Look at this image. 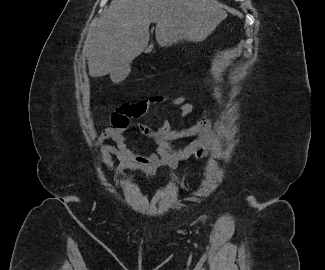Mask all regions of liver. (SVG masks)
Listing matches in <instances>:
<instances>
[{"label": "liver", "instance_id": "6515ba94", "mask_svg": "<svg viewBox=\"0 0 325 270\" xmlns=\"http://www.w3.org/2000/svg\"><path fill=\"white\" fill-rule=\"evenodd\" d=\"M226 17L223 6L212 0H112L84 45L89 74L123 81L129 64L147 49L151 23L157 24L156 40L163 47L203 41Z\"/></svg>", "mask_w": 325, "mask_h": 270}]
</instances>
